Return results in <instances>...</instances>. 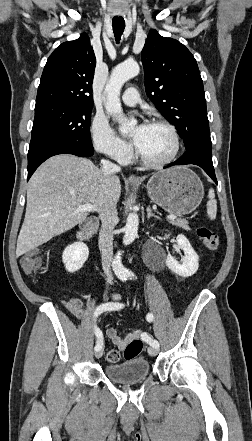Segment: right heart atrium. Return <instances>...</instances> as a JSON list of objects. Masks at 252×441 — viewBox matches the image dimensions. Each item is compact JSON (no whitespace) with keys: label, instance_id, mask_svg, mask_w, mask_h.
I'll list each match as a JSON object with an SVG mask.
<instances>
[{"label":"right heart atrium","instance_id":"obj_1","mask_svg":"<svg viewBox=\"0 0 252 441\" xmlns=\"http://www.w3.org/2000/svg\"><path fill=\"white\" fill-rule=\"evenodd\" d=\"M90 134L94 148L102 155L122 164L131 159L130 146L115 133L105 117L93 118Z\"/></svg>","mask_w":252,"mask_h":441}]
</instances>
